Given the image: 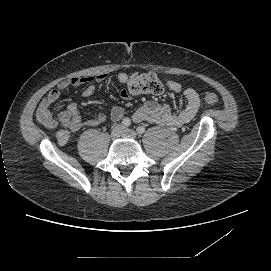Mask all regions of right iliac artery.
Segmentation results:
<instances>
[{"mask_svg":"<svg viewBox=\"0 0 271 271\" xmlns=\"http://www.w3.org/2000/svg\"><path fill=\"white\" fill-rule=\"evenodd\" d=\"M121 123L123 126L128 127L131 124V120L129 118H124Z\"/></svg>","mask_w":271,"mask_h":271,"instance_id":"obj_1","label":"right iliac artery"}]
</instances>
